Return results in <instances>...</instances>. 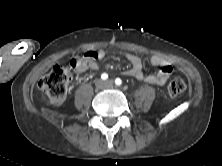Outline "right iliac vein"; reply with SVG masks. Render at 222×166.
I'll return each mask as SVG.
<instances>
[{
  "label": "right iliac vein",
  "instance_id": "63e3f726",
  "mask_svg": "<svg viewBox=\"0 0 222 166\" xmlns=\"http://www.w3.org/2000/svg\"><path fill=\"white\" fill-rule=\"evenodd\" d=\"M95 85L97 88H103L104 87V82L101 79L96 80Z\"/></svg>",
  "mask_w": 222,
  "mask_h": 166
}]
</instances>
